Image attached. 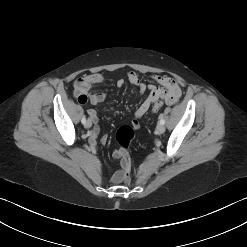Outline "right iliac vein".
<instances>
[{
  "mask_svg": "<svg viewBox=\"0 0 247 247\" xmlns=\"http://www.w3.org/2000/svg\"><path fill=\"white\" fill-rule=\"evenodd\" d=\"M84 126H85L86 128H90V127L92 126L91 120H88V121L84 124Z\"/></svg>",
  "mask_w": 247,
  "mask_h": 247,
  "instance_id": "1",
  "label": "right iliac vein"
}]
</instances>
